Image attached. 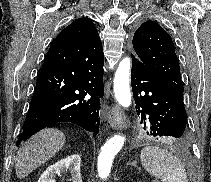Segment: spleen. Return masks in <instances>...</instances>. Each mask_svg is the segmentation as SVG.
Masks as SVG:
<instances>
[{
	"mask_svg": "<svg viewBox=\"0 0 211 182\" xmlns=\"http://www.w3.org/2000/svg\"><path fill=\"white\" fill-rule=\"evenodd\" d=\"M140 158L144 169L162 182H188L183 164L166 149L146 146Z\"/></svg>",
	"mask_w": 211,
	"mask_h": 182,
	"instance_id": "3e777b00",
	"label": "spleen"
}]
</instances>
